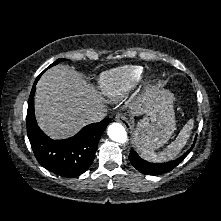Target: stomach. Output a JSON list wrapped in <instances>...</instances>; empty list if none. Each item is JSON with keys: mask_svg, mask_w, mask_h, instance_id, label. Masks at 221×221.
I'll return each instance as SVG.
<instances>
[{"mask_svg": "<svg viewBox=\"0 0 221 221\" xmlns=\"http://www.w3.org/2000/svg\"><path fill=\"white\" fill-rule=\"evenodd\" d=\"M175 98L167 90L151 93V100L144 116L133 131V144L139 151H154L163 146L176 129Z\"/></svg>", "mask_w": 221, "mask_h": 221, "instance_id": "obj_1", "label": "stomach"}]
</instances>
